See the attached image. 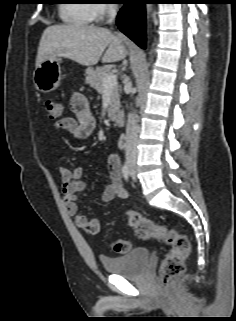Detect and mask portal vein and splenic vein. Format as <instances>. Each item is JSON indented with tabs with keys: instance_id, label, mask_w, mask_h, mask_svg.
<instances>
[{
	"instance_id": "18ae733b",
	"label": "portal vein and splenic vein",
	"mask_w": 236,
	"mask_h": 321,
	"mask_svg": "<svg viewBox=\"0 0 236 321\" xmlns=\"http://www.w3.org/2000/svg\"><path fill=\"white\" fill-rule=\"evenodd\" d=\"M117 84V76L115 74H109L103 79V85L105 88L113 87Z\"/></svg>"
}]
</instances>
